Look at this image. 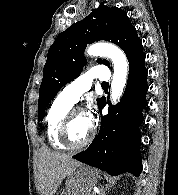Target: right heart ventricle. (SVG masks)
Masks as SVG:
<instances>
[{
  "label": "right heart ventricle",
  "instance_id": "obj_1",
  "mask_svg": "<svg viewBox=\"0 0 178 195\" xmlns=\"http://www.w3.org/2000/svg\"><path fill=\"white\" fill-rule=\"evenodd\" d=\"M73 104L59 94L51 104L45 118L46 136L51 147L57 151H63L66 147L60 142L58 138L60 125L72 108Z\"/></svg>",
  "mask_w": 178,
  "mask_h": 195
}]
</instances>
